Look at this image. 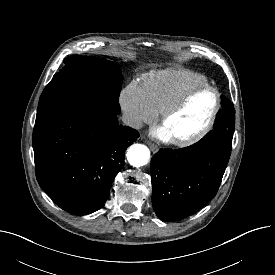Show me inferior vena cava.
I'll use <instances>...</instances> for the list:
<instances>
[{"mask_svg":"<svg viewBox=\"0 0 275 275\" xmlns=\"http://www.w3.org/2000/svg\"><path fill=\"white\" fill-rule=\"evenodd\" d=\"M122 121L125 125L135 129H140L142 127L141 120L132 114L124 113L122 115Z\"/></svg>","mask_w":275,"mask_h":275,"instance_id":"1","label":"inferior vena cava"}]
</instances>
